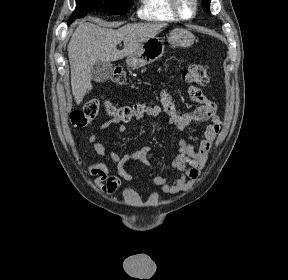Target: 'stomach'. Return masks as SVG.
Segmentation results:
<instances>
[{
	"instance_id": "obj_1",
	"label": "stomach",
	"mask_w": 288,
	"mask_h": 280,
	"mask_svg": "<svg viewBox=\"0 0 288 280\" xmlns=\"http://www.w3.org/2000/svg\"><path fill=\"white\" fill-rule=\"evenodd\" d=\"M168 42L173 47H189L194 43V36L186 29L176 28L169 33ZM163 53V41L154 37L145 41L137 51L128 56L126 63L132 68L144 67L161 58Z\"/></svg>"
}]
</instances>
